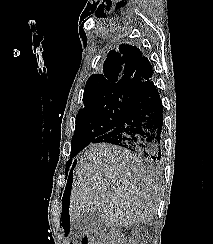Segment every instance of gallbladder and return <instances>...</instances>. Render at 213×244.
I'll return each instance as SVG.
<instances>
[{
	"label": "gallbladder",
	"instance_id": "1",
	"mask_svg": "<svg viewBox=\"0 0 213 244\" xmlns=\"http://www.w3.org/2000/svg\"><path fill=\"white\" fill-rule=\"evenodd\" d=\"M101 215L96 211H90L82 214L72 223V231L75 235L82 237L104 228Z\"/></svg>",
	"mask_w": 213,
	"mask_h": 244
}]
</instances>
